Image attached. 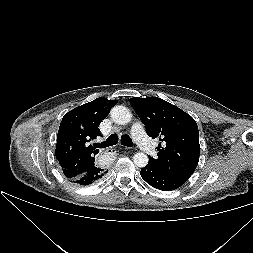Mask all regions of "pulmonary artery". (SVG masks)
<instances>
[{
	"label": "pulmonary artery",
	"mask_w": 253,
	"mask_h": 253,
	"mask_svg": "<svg viewBox=\"0 0 253 253\" xmlns=\"http://www.w3.org/2000/svg\"><path fill=\"white\" fill-rule=\"evenodd\" d=\"M131 133L137 144L140 148L148 154H155V148L150 141V139L146 136L144 129L140 123H134L131 128Z\"/></svg>",
	"instance_id": "1"
}]
</instances>
